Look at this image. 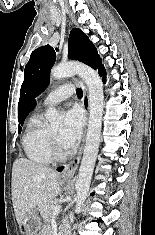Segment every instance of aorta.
I'll return each instance as SVG.
<instances>
[{"label": "aorta", "mask_w": 155, "mask_h": 235, "mask_svg": "<svg viewBox=\"0 0 155 235\" xmlns=\"http://www.w3.org/2000/svg\"><path fill=\"white\" fill-rule=\"evenodd\" d=\"M78 75L86 84L89 92V123L87 129L86 144L79 172L76 178V206L75 212H80L90 188L95 162L97 159L103 116L104 93L103 84L99 74L91 67L77 62L62 63L51 70V78L54 80ZM46 119L50 124L57 125L63 117L55 108H49Z\"/></svg>", "instance_id": "1"}]
</instances>
